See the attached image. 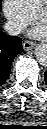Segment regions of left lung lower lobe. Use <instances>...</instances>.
I'll use <instances>...</instances> for the list:
<instances>
[{
    "label": "left lung lower lobe",
    "instance_id": "obj_1",
    "mask_svg": "<svg viewBox=\"0 0 47 129\" xmlns=\"http://www.w3.org/2000/svg\"><path fill=\"white\" fill-rule=\"evenodd\" d=\"M45 81H46V84H47V72H45Z\"/></svg>",
    "mask_w": 47,
    "mask_h": 129
}]
</instances>
